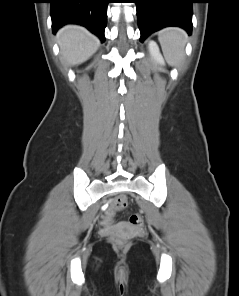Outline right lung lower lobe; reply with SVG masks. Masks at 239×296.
I'll use <instances>...</instances> for the list:
<instances>
[{"mask_svg":"<svg viewBox=\"0 0 239 296\" xmlns=\"http://www.w3.org/2000/svg\"><path fill=\"white\" fill-rule=\"evenodd\" d=\"M53 32L65 24H80L105 40L109 0H49Z\"/></svg>","mask_w":239,"mask_h":296,"instance_id":"right-lung-lower-lobe-1","label":"right lung lower lobe"}]
</instances>
